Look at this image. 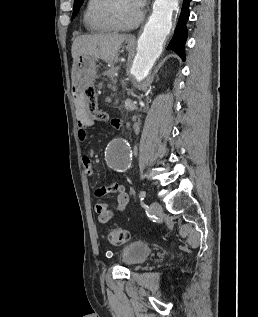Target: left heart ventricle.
<instances>
[{
	"label": "left heart ventricle",
	"mask_w": 258,
	"mask_h": 317,
	"mask_svg": "<svg viewBox=\"0 0 258 317\" xmlns=\"http://www.w3.org/2000/svg\"><path fill=\"white\" fill-rule=\"evenodd\" d=\"M112 16L120 27H131L137 18L135 6L128 2L120 3L112 12Z\"/></svg>",
	"instance_id": "1"
}]
</instances>
